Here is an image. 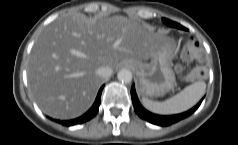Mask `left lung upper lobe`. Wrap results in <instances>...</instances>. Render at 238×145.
I'll use <instances>...</instances> for the list:
<instances>
[{"mask_svg":"<svg viewBox=\"0 0 238 145\" xmlns=\"http://www.w3.org/2000/svg\"><path fill=\"white\" fill-rule=\"evenodd\" d=\"M163 22L166 23V24H167L168 26H170V27L179 28V25H178V23H176V22L170 21V20L165 19V18H163Z\"/></svg>","mask_w":238,"mask_h":145,"instance_id":"1","label":"left lung upper lobe"}]
</instances>
